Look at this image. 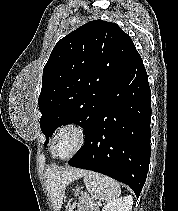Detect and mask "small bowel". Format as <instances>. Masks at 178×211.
Segmentation results:
<instances>
[{"mask_svg":"<svg viewBox=\"0 0 178 211\" xmlns=\"http://www.w3.org/2000/svg\"><path fill=\"white\" fill-rule=\"evenodd\" d=\"M78 211H98V208L90 199H84L81 201Z\"/></svg>","mask_w":178,"mask_h":211,"instance_id":"obj_1","label":"small bowel"}]
</instances>
